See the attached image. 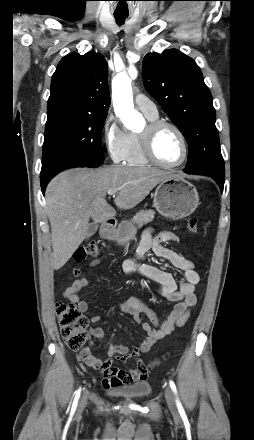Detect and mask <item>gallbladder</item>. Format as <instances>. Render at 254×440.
I'll list each match as a JSON object with an SVG mask.
<instances>
[{"label": "gallbladder", "mask_w": 254, "mask_h": 440, "mask_svg": "<svg viewBox=\"0 0 254 440\" xmlns=\"http://www.w3.org/2000/svg\"><path fill=\"white\" fill-rule=\"evenodd\" d=\"M97 229H98V224L95 223V222H91V223L89 224V226H88V229H87V233H86V237H85V238H89V237H91L92 235H94V234L96 233Z\"/></svg>", "instance_id": "gallbladder-1"}]
</instances>
